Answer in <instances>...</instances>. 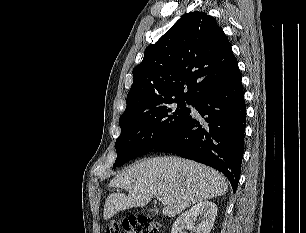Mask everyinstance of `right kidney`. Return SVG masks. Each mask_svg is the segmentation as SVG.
<instances>
[{
    "mask_svg": "<svg viewBox=\"0 0 306 233\" xmlns=\"http://www.w3.org/2000/svg\"><path fill=\"white\" fill-rule=\"evenodd\" d=\"M217 215V206L210 201H201L181 214L172 226L171 233H210ZM199 218V224L194 227L193 222Z\"/></svg>",
    "mask_w": 306,
    "mask_h": 233,
    "instance_id": "ca27d5eb",
    "label": "right kidney"
}]
</instances>
